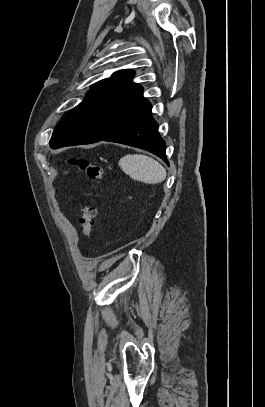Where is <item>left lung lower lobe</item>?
<instances>
[{
  "instance_id": "obj_1",
  "label": "left lung lower lobe",
  "mask_w": 265,
  "mask_h": 407,
  "mask_svg": "<svg viewBox=\"0 0 265 407\" xmlns=\"http://www.w3.org/2000/svg\"><path fill=\"white\" fill-rule=\"evenodd\" d=\"M157 129L158 124L152 118L150 110L142 117L125 125L103 140L147 150L168 163L165 154V141L161 138Z\"/></svg>"
}]
</instances>
